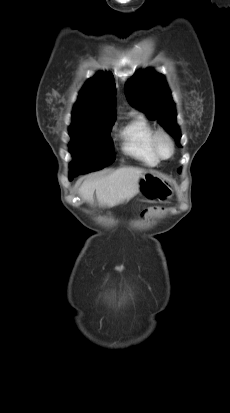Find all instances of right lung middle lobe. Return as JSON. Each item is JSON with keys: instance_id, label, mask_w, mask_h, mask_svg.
<instances>
[{"instance_id": "dd1d6c3e", "label": "right lung middle lobe", "mask_w": 230, "mask_h": 413, "mask_svg": "<svg viewBox=\"0 0 230 413\" xmlns=\"http://www.w3.org/2000/svg\"><path fill=\"white\" fill-rule=\"evenodd\" d=\"M115 119L101 120L78 127H70L69 144L73 162L70 164L72 180L78 174L102 169L115 160L110 131Z\"/></svg>"}]
</instances>
